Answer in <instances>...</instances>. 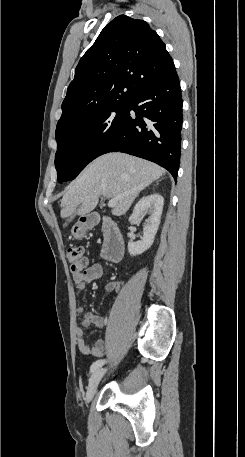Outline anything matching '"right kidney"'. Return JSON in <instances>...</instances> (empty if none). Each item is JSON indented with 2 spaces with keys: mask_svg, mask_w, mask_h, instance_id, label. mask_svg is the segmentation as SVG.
Segmentation results:
<instances>
[{
  "mask_svg": "<svg viewBox=\"0 0 245 457\" xmlns=\"http://www.w3.org/2000/svg\"><path fill=\"white\" fill-rule=\"evenodd\" d=\"M163 204V196H161L159 192H154V194H148V196L140 198L136 206H134V210L131 216H129L130 222H133V220H141L146 212H148L150 216L149 218H146L144 222L142 241H137V243L129 241L128 243V253H130L131 257L141 255V253H144V251H147V249H150L151 245H153L160 224Z\"/></svg>",
  "mask_w": 245,
  "mask_h": 457,
  "instance_id": "ca27d5eb",
  "label": "right kidney"
}]
</instances>
